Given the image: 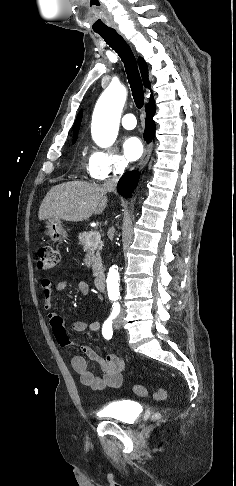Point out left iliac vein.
I'll list each match as a JSON object with an SVG mask.
<instances>
[{
	"instance_id": "4c4485c4",
	"label": "left iliac vein",
	"mask_w": 236,
	"mask_h": 486,
	"mask_svg": "<svg viewBox=\"0 0 236 486\" xmlns=\"http://www.w3.org/2000/svg\"><path fill=\"white\" fill-rule=\"evenodd\" d=\"M115 326H116L117 329H119L121 327V319H118L116 321V325Z\"/></svg>"
}]
</instances>
